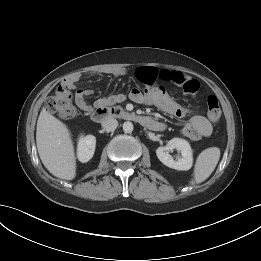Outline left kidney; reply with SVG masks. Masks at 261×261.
I'll return each instance as SVG.
<instances>
[{
  "instance_id": "1",
  "label": "left kidney",
  "mask_w": 261,
  "mask_h": 261,
  "mask_svg": "<svg viewBox=\"0 0 261 261\" xmlns=\"http://www.w3.org/2000/svg\"><path fill=\"white\" fill-rule=\"evenodd\" d=\"M177 149L181 153V158L174 160L169 154L170 150ZM158 159L166 166L175 170L187 171L193 164V153L190 144L181 138H173L166 146L156 150Z\"/></svg>"
}]
</instances>
